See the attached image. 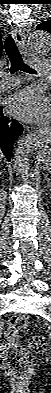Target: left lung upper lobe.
<instances>
[{"mask_svg":"<svg viewBox=\"0 0 51 393\" xmlns=\"http://www.w3.org/2000/svg\"><path fill=\"white\" fill-rule=\"evenodd\" d=\"M38 30H44L51 34V20L43 21L37 25Z\"/></svg>","mask_w":51,"mask_h":393,"instance_id":"obj_1","label":"left lung upper lobe"}]
</instances>
